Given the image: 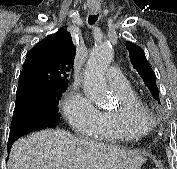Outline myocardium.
I'll list each match as a JSON object with an SVG mask.
<instances>
[{"mask_svg": "<svg viewBox=\"0 0 177 169\" xmlns=\"http://www.w3.org/2000/svg\"><path fill=\"white\" fill-rule=\"evenodd\" d=\"M125 113L131 122L148 130L155 124V118L143 105L128 107L125 109Z\"/></svg>", "mask_w": 177, "mask_h": 169, "instance_id": "1", "label": "myocardium"}]
</instances>
